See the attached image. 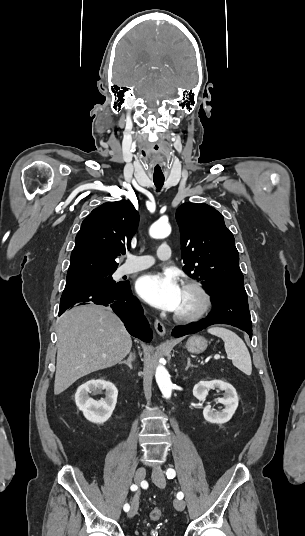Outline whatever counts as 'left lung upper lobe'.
Listing matches in <instances>:
<instances>
[{
    "label": "left lung upper lobe",
    "mask_w": 305,
    "mask_h": 536,
    "mask_svg": "<svg viewBox=\"0 0 305 536\" xmlns=\"http://www.w3.org/2000/svg\"><path fill=\"white\" fill-rule=\"evenodd\" d=\"M183 270L212 294H246L239 253L223 216L207 204L185 203L176 211Z\"/></svg>",
    "instance_id": "obj_1"
}]
</instances>
